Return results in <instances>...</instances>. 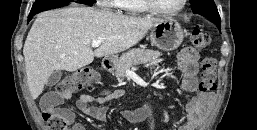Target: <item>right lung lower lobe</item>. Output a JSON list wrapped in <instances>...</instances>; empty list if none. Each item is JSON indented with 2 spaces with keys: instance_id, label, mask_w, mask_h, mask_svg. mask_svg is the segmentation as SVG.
Returning <instances> with one entry per match:
<instances>
[{
  "instance_id": "right-lung-lower-lobe-1",
  "label": "right lung lower lobe",
  "mask_w": 257,
  "mask_h": 130,
  "mask_svg": "<svg viewBox=\"0 0 257 130\" xmlns=\"http://www.w3.org/2000/svg\"><path fill=\"white\" fill-rule=\"evenodd\" d=\"M58 7V6H57ZM54 8V7H53ZM32 18V15H29V17H28V20H30Z\"/></svg>"
}]
</instances>
